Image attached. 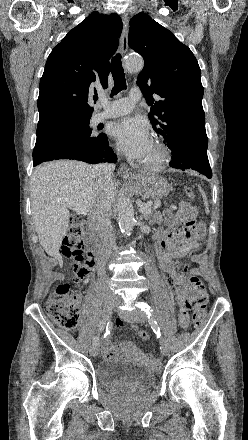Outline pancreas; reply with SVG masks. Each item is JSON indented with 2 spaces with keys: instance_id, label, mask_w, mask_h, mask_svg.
Instances as JSON below:
<instances>
[{
  "instance_id": "obj_1",
  "label": "pancreas",
  "mask_w": 248,
  "mask_h": 440,
  "mask_svg": "<svg viewBox=\"0 0 248 440\" xmlns=\"http://www.w3.org/2000/svg\"><path fill=\"white\" fill-rule=\"evenodd\" d=\"M172 217L171 210L167 211V214H161L160 212L155 211L152 209L149 213L144 214V218L146 220H149L152 224H162L169 225L170 218Z\"/></svg>"
}]
</instances>
